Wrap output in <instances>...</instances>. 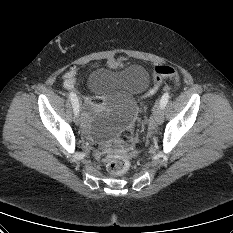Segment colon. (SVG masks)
I'll use <instances>...</instances> for the list:
<instances>
[{
  "instance_id": "obj_1",
  "label": "colon",
  "mask_w": 233,
  "mask_h": 233,
  "mask_svg": "<svg viewBox=\"0 0 233 233\" xmlns=\"http://www.w3.org/2000/svg\"><path fill=\"white\" fill-rule=\"evenodd\" d=\"M164 78H171L175 82L179 81L176 69L167 65H159L155 68L153 84L145 94V97L153 96ZM117 146L118 151L109 159L106 167L108 172L113 175H123L128 171L130 166L126 155L130 150V146L124 140L118 141Z\"/></svg>"
}]
</instances>
